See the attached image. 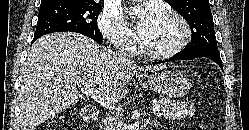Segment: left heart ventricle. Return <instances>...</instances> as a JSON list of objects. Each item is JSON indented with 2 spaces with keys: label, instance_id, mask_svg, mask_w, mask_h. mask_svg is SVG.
Returning <instances> with one entry per match:
<instances>
[{
  "label": "left heart ventricle",
  "instance_id": "left-heart-ventricle-1",
  "mask_svg": "<svg viewBox=\"0 0 249 130\" xmlns=\"http://www.w3.org/2000/svg\"><path fill=\"white\" fill-rule=\"evenodd\" d=\"M181 36L179 23L161 15L144 44L151 50L161 51L173 46Z\"/></svg>",
  "mask_w": 249,
  "mask_h": 130
}]
</instances>
